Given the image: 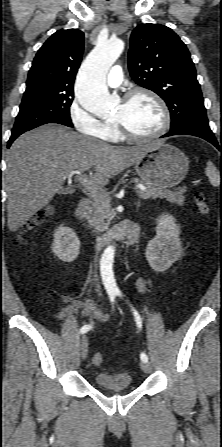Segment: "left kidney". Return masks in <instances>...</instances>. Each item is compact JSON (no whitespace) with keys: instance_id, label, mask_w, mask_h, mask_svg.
<instances>
[{"instance_id":"1","label":"left kidney","mask_w":222,"mask_h":447,"mask_svg":"<svg viewBox=\"0 0 222 447\" xmlns=\"http://www.w3.org/2000/svg\"><path fill=\"white\" fill-rule=\"evenodd\" d=\"M180 229L175 218L162 214L157 219L156 236L146 248V258L156 272H164L178 260L182 253Z\"/></svg>"}]
</instances>
